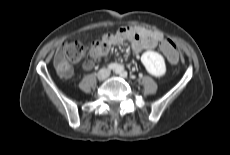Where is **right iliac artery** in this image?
Returning a JSON list of instances; mask_svg holds the SVG:
<instances>
[{
	"label": "right iliac artery",
	"instance_id": "1",
	"mask_svg": "<svg viewBox=\"0 0 230 155\" xmlns=\"http://www.w3.org/2000/svg\"><path fill=\"white\" fill-rule=\"evenodd\" d=\"M117 67H118V65L115 64V63H111V64L108 65V68L112 69V70H116Z\"/></svg>",
	"mask_w": 230,
	"mask_h": 155
}]
</instances>
